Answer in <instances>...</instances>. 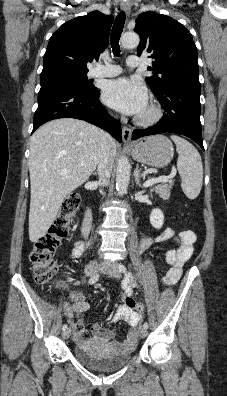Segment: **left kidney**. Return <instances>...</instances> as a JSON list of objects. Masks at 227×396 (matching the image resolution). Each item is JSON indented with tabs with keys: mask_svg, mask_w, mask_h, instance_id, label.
<instances>
[{
	"mask_svg": "<svg viewBox=\"0 0 227 396\" xmlns=\"http://www.w3.org/2000/svg\"><path fill=\"white\" fill-rule=\"evenodd\" d=\"M150 223L156 229H160L162 227L164 223V215L160 209L156 208L152 210L150 214Z\"/></svg>",
	"mask_w": 227,
	"mask_h": 396,
	"instance_id": "5707ae66",
	"label": "left kidney"
}]
</instances>
